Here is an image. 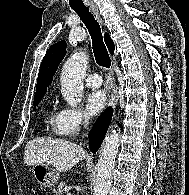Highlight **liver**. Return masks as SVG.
Segmentation results:
<instances>
[{
    "instance_id": "1",
    "label": "liver",
    "mask_w": 189,
    "mask_h": 195,
    "mask_svg": "<svg viewBox=\"0 0 189 195\" xmlns=\"http://www.w3.org/2000/svg\"><path fill=\"white\" fill-rule=\"evenodd\" d=\"M86 158L85 150L72 142L39 137L25 146L24 163L29 166L48 163L58 172H66Z\"/></svg>"
}]
</instances>
